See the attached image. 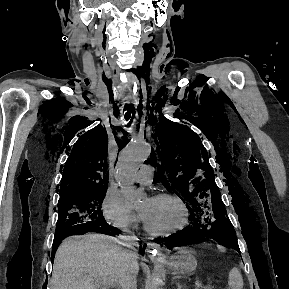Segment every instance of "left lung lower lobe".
<instances>
[{
    "label": "left lung lower lobe",
    "instance_id": "0a47b994",
    "mask_svg": "<svg viewBox=\"0 0 289 289\" xmlns=\"http://www.w3.org/2000/svg\"><path fill=\"white\" fill-rule=\"evenodd\" d=\"M225 208L221 209L223 214L225 213ZM216 230L213 225L203 224L202 222L193 221L191 225L184 228L182 231L170 235L169 237L165 238L164 241L170 245L171 247L177 246H184L193 244L197 237H209L217 241V237L215 235ZM233 240L237 243V239ZM240 253V250L237 249Z\"/></svg>",
    "mask_w": 289,
    "mask_h": 289
}]
</instances>
